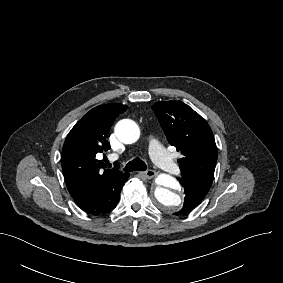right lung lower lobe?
Masks as SVG:
<instances>
[{
    "mask_svg": "<svg viewBox=\"0 0 283 283\" xmlns=\"http://www.w3.org/2000/svg\"><path fill=\"white\" fill-rule=\"evenodd\" d=\"M128 177V173H123L99 186H81L70 194L78 207L87 214L104 215L116 207L120 199L121 189Z\"/></svg>",
    "mask_w": 283,
    "mask_h": 283,
    "instance_id": "98d812e1",
    "label": "right lung lower lobe"
}]
</instances>
